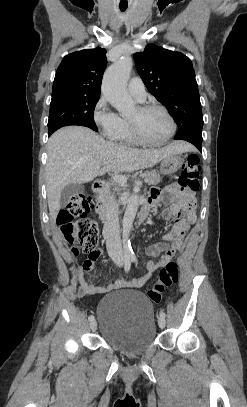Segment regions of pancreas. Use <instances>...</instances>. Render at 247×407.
<instances>
[{
  "label": "pancreas",
  "instance_id": "1",
  "mask_svg": "<svg viewBox=\"0 0 247 407\" xmlns=\"http://www.w3.org/2000/svg\"><path fill=\"white\" fill-rule=\"evenodd\" d=\"M143 176L148 179L149 185H156L161 181L160 175L158 173H156L155 171H147L143 174ZM113 186H114V189H113L114 192H119V191L123 190V185H121L120 183L116 182L115 184H113ZM112 197H113V194L111 193V190L109 188H106L100 192L99 200L101 202H104V201L109 200Z\"/></svg>",
  "mask_w": 247,
  "mask_h": 407
}]
</instances>
